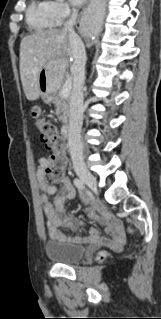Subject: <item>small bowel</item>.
<instances>
[{
  "label": "small bowel",
  "mask_w": 161,
  "mask_h": 319,
  "mask_svg": "<svg viewBox=\"0 0 161 319\" xmlns=\"http://www.w3.org/2000/svg\"><path fill=\"white\" fill-rule=\"evenodd\" d=\"M46 158L40 157L38 159V182L40 189L43 191V195L41 197V204L45 216L46 226L50 232L52 238H57L60 240H70L72 242H99L101 241L99 232L97 229L92 228L89 232V236L87 238L81 237H64L58 232L59 227H67L73 229L75 227V223L66 215L64 203L67 200H72L76 191L72 186L71 182L67 178H59L58 182L60 184V191L53 184L50 183L46 175L43 171L44 166L46 165ZM56 195L54 204L49 200V196ZM81 198L84 202L89 203L90 207L87 210L88 217L90 219L93 218H101L107 225L108 232L110 234V238L113 241H118L121 237L122 227L119 221L114 217H106L105 207L103 203L99 199H91L88 198L85 194L81 195Z\"/></svg>",
  "instance_id": "1"
}]
</instances>
